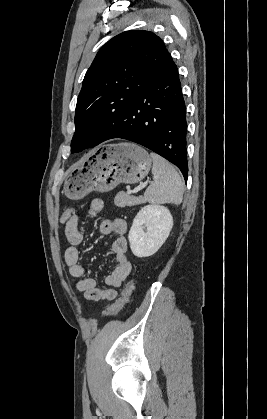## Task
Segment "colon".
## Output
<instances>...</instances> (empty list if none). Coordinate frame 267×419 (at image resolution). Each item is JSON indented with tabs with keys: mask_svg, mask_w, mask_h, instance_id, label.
<instances>
[{
	"mask_svg": "<svg viewBox=\"0 0 267 419\" xmlns=\"http://www.w3.org/2000/svg\"><path fill=\"white\" fill-rule=\"evenodd\" d=\"M75 214L76 210L73 207L65 209L60 218L61 223L65 224ZM133 289L134 283L132 281L127 282L120 296L103 313V317H113L117 315L123 306L128 302Z\"/></svg>",
	"mask_w": 267,
	"mask_h": 419,
	"instance_id": "colon-1",
	"label": "colon"
}]
</instances>
